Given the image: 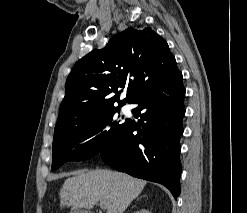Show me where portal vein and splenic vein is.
I'll use <instances>...</instances> for the list:
<instances>
[{
    "mask_svg": "<svg viewBox=\"0 0 247 213\" xmlns=\"http://www.w3.org/2000/svg\"><path fill=\"white\" fill-rule=\"evenodd\" d=\"M100 206H101L102 208H104L105 203H104V202H100Z\"/></svg>",
    "mask_w": 247,
    "mask_h": 213,
    "instance_id": "1",
    "label": "portal vein and splenic vein"
}]
</instances>
